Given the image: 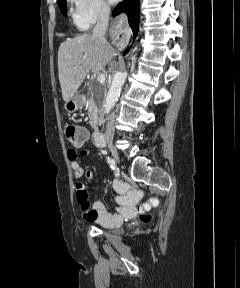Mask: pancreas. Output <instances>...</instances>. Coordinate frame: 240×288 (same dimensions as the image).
Returning a JSON list of instances; mask_svg holds the SVG:
<instances>
[{
  "label": "pancreas",
  "instance_id": "obj_1",
  "mask_svg": "<svg viewBox=\"0 0 240 288\" xmlns=\"http://www.w3.org/2000/svg\"><path fill=\"white\" fill-rule=\"evenodd\" d=\"M94 88L96 91H99L104 94L106 93V88L104 87V85H101L99 82H95ZM88 111H89L90 119H93L98 113L97 104L95 103V98L93 94L88 100Z\"/></svg>",
  "mask_w": 240,
  "mask_h": 288
}]
</instances>
